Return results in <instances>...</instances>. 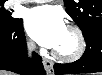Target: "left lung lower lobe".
Listing matches in <instances>:
<instances>
[{"instance_id":"left-lung-lower-lobe-1","label":"left lung lower lobe","mask_w":102,"mask_h":75,"mask_svg":"<svg viewBox=\"0 0 102 75\" xmlns=\"http://www.w3.org/2000/svg\"><path fill=\"white\" fill-rule=\"evenodd\" d=\"M83 35L86 41V50L83 56L73 63H56L54 65L56 75L102 71V28L86 30Z\"/></svg>"}]
</instances>
